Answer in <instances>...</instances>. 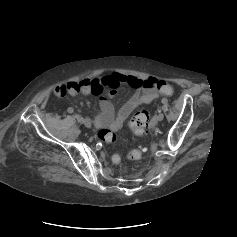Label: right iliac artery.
<instances>
[{"label": "right iliac artery", "mask_w": 237, "mask_h": 237, "mask_svg": "<svg viewBox=\"0 0 237 237\" xmlns=\"http://www.w3.org/2000/svg\"><path fill=\"white\" fill-rule=\"evenodd\" d=\"M67 111H68V113H73V112H74V109H73L72 107H69V108L67 109Z\"/></svg>", "instance_id": "1"}]
</instances>
